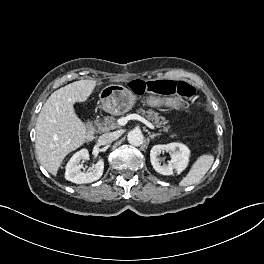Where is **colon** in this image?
<instances>
[{"instance_id":"5ec220e1","label":"colon","mask_w":264,"mask_h":264,"mask_svg":"<svg viewBox=\"0 0 264 264\" xmlns=\"http://www.w3.org/2000/svg\"><path fill=\"white\" fill-rule=\"evenodd\" d=\"M132 90L137 94L157 93L161 95H174L189 97L194 94V89L186 82H175L171 80H162L154 82H146L142 80H135L131 83Z\"/></svg>"}]
</instances>
